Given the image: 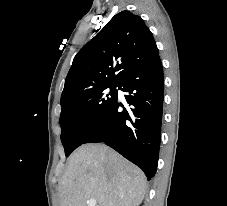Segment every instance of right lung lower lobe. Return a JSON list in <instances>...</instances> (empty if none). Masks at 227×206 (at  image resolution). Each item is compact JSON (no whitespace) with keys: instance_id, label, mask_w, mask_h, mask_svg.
<instances>
[{"instance_id":"right-lung-lower-lobe-1","label":"right lung lower lobe","mask_w":227,"mask_h":206,"mask_svg":"<svg viewBox=\"0 0 227 206\" xmlns=\"http://www.w3.org/2000/svg\"><path fill=\"white\" fill-rule=\"evenodd\" d=\"M119 89L132 107L117 100L91 131L85 143L104 142L139 166L150 180L156 172L163 107L164 76L159 56L129 72Z\"/></svg>"}]
</instances>
